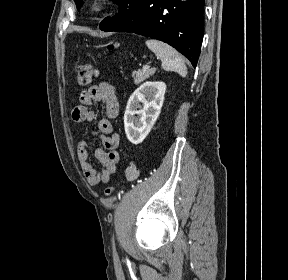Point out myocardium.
<instances>
[{
  "label": "myocardium",
  "mask_w": 288,
  "mask_h": 280,
  "mask_svg": "<svg viewBox=\"0 0 288 280\" xmlns=\"http://www.w3.org/2000/svg\"><path fill=\"white\" fill-rule=\"evenodd\" d=\"M110 3V0H90L88 9L92 13H98L103 11Z\"/></svg>",
  "instance_id": "obj_1"
}]
</instances>
